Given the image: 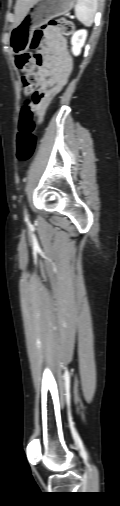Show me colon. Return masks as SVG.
I'll list each match as a JSON object with an SVG mask.
<instances>
[{"mask_svg":"<svg viewBox=\"0 0 120 506\" xmlns=\"http://www.w3.org/2000/svg\"><path fill=\"white\" fill-rule=\"evenodd\" d=\"M48 29H53L63 35H70L74 27L72 22L66 18L56 17L50 19L43 29L34 31L31 40L32 49H37L41 46L42 39ZM15 62L16 66L23 72L22 84L26 94L19 120L16 158L21 162H25L31 159L37 146L34 112L41 103V95L37 91L39 84V75L36 72L38 59L32 53H21L16 56Z\"/></svg>","mask_w":120,"mask_h":506,"instance_id":"1","label":"colon"}]
</instances>
